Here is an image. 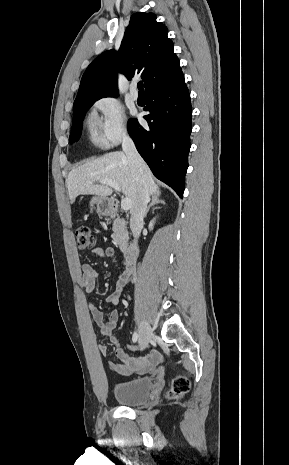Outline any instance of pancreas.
Wrapping results in <instances>:
<instances>
[{"label": "pancreas", "instance_id": "1", "mask_svg": "<svg viewBox=\"0 0 289 465\" xmlns=\"http://www.w3.org/2000/svg\"><path fill=\"white\" fill-rule=\"evenodd\" d=\"M112 239L114 244L118 246L121 251L126 250L129 241L128 231L125 221L119 217L116 218L113 223Z\"/></svg>", "mask_w": 289, "mask_h": 465}]
</instances>
